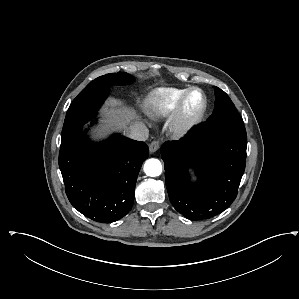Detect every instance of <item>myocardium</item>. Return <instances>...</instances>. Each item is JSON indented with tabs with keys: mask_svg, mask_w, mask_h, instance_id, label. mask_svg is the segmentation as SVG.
Returning <instances> with one entry per match:
<instances>
[{
	"mask_svg": "<svg viewBox=\"0 0 299 299\" xmlns=\"http://www.w3.org/2000/svg\"><path fill=\"white\" fill-rule=\"evenodd\" d=\"M194 92L199 93L201 96V105L194 113H188L186 111V103L189 96ZM207 106V97L201 89L197 87L187 89L182 94L173 110L170 120V129L172 133L176 136H183L199 125L207 111Z\"/></svg>",
	"mask_w": 299,
	"mask_h": 299,
	"instance_id": "myocardium-1",
	"label": "myocardium"
}]
</instances>
